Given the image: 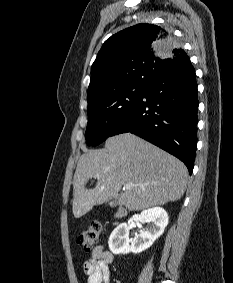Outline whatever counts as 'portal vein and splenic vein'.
<instances>
[{
  "instance_id": "portal-vein-and-splenic-vein-1",
  "label": "portal vein and splenic vein",
  "mask_w": 233,
  "mask_h": 283,
  "mask_svg": "<svg viewBox=\"0 0 233 283\" xmlns=\"http://www.w3.org/2000/svg\"><path fill=\"white\" fill-rule=\"evenodd\" d=\"M131 187H132V184H125L123 188L124 189H130Z\"/></svg>"
}]
</instances>
